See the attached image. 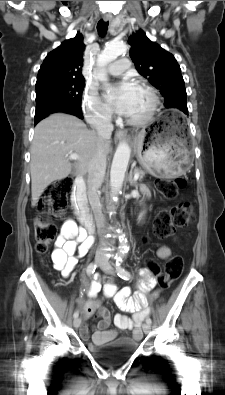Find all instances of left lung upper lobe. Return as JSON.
<instances>
[{
    "mask_svg": "<svg viewBox=\"0 0 225 395\" xmlns=\"http://www.w3.org/2000/svg\"><path fill=\"white\" fill-rule=\"evenodd\" d=\"M128 43L137 71L160 90L165 98V107L177 108L188 114L184 80L174 56L150 41L142 30L134 33Z\"/></svg>",
    "mask_w": 225,
    "mask_h": 395,
    "instance_id": "left-lung-upper-lobe-1",
    "label": "left lung upper lobe"
}]
</instances>
